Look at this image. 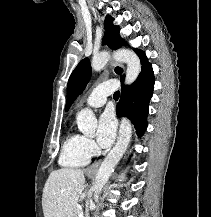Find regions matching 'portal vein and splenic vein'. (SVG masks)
Wrapping results in <instances>:
<instances>
[{"mask_svg": "<svg viewBox=\"0 0 211 217\" xmlns=\"http://www.w3.org/2000/svg\"><path fill=\"white\" fill-rule=\"evenodd\" d=\"M79 217H84V215H83V211H80V213H79Z\"/></svg>", "mask_w": 211, "mask_h": 217, "instance_id": "18ae733b", "label": "portal vein and splenic vein"}]
</instances>
